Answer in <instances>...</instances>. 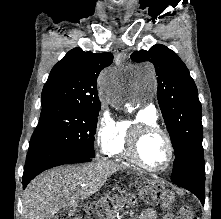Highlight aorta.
<instances>
[{
  "label": "aorta",
  "mask_w": 221,
  "mask_h": 219,
  "mask_svg": "<svg viewBox=\"0 0 221 219\" xmlns=\"http://www.w3.org/2000/svg\"><path fill=\"white\" fill-rule=\"evenodd\" d=\"M148 78L152 80L154 78L153 71L146 72ZM101 97L106 100H117L118 94L116 92V80L114 76L110 74L103 75L101 77L100 87ZM129 106V105H127Z\"/></svg>",
  "instance_id": "obj_1"
}]
</instances>
